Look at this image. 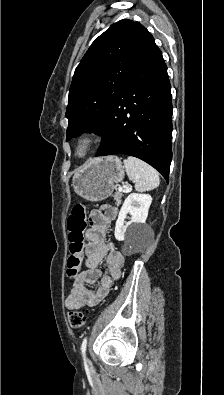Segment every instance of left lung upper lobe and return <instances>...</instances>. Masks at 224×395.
I'll use <instances>...</instances> for the list:
<instances>
[{
  "label": "left lung upper lobe",
  "instance_id": "1",
  "mask_svg": "<svg viewBox=\"0 0 224 395\" xmlns=\"http://www.w3.org/2000/svg\"><path fill=\"white\" fill-rule=\"evenodd\" d=\"M155 47L151 33L127 19L95 39L77 66L69 90L67 141L84 132L100 133L108 109Z\"/></svg>",
  "mask_w": 224,
  "mask_h": 395
}]
</instances>
